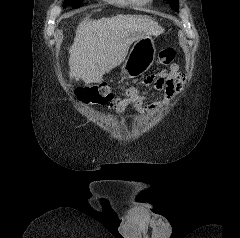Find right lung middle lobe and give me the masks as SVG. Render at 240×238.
<instances>
[{"label":"right lung middle lobe","mask_w":240,"mask_h":238,"mask_svg":"<svg viewBox=\"0 0 240 238\" xmlns=\"http://www.w3.org/2000/svg\"><path fill=\"white\" fill-rule=\"evenodd\" d=\"M83 0H66L65 4L72 5L74 8L82 4Z\"/></svg>","instance_id":"right-lung-middle-lobe-1"}]
</instances>
